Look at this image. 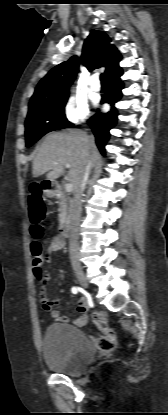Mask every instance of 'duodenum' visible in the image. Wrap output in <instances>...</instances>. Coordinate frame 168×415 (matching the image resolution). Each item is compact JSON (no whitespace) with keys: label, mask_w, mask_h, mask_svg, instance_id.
<instances>
[{"label":"duodenum","mask_w":168,"mask_h":415,"mask_svg":"<svg viewBox=\"0 0 168 415\" xmlns=\"http://www.w3.org/2000/svg\"><path fill=\"white\" fill-rule=\"evenodd\" d=\"M41 186L43 190L51 196H57L61 193L59 185L54 181L43 180L41 182ZM69 230H70V225L68 221L64 220L59 224V233L63 238L68 237Z\"/></svg>","instance_id":"obj_1"}]
</instances>
